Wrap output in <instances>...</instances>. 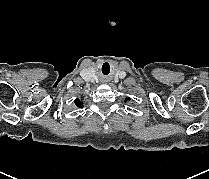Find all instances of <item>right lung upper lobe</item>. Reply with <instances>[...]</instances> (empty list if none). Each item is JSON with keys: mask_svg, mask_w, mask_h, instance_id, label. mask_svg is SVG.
Listing matches in <instances>:
<instances>
[{"mask_svg": "<svg viewBox=\"0 0 209 179\" xmlns=\"http://www.w3.org/2000/svg\"><path fill=\"white\" fill-rule=\"evenodd\" d=\"M75 104H76L77 107H80V108L83 107V103H82L81 100H79V99H76V100H75Z\"/></svg>", "mask_w": 209, "mask_h": 179, "instance_id": "right-lung-upper-lobe-1", "label": "right lung upper lobe"}]
</instances>
